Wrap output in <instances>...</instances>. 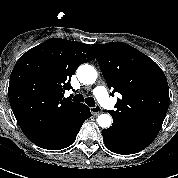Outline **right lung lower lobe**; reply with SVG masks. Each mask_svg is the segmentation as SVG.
I'll list each match as a JSON object with an SVG mask.
<instances>
[{"mask_svg":"<svg viewBox=\"0 0 178 178\" xmlns=\"http://www.w3.org/2000/svg\"><path fill=\"white\" fill-rule=\"evenodd\" d=\"M90 116V109L85 105L71 130L58 135H52L37 141H33V143L41 148L49 150H60L66 148L75 141L76 135L79 132L82 124Z\"/></svg>","mask_w":178,"mask_h":178,"instance_id":"obj_1","label":"right lung lower lobe"}]
</instances>
